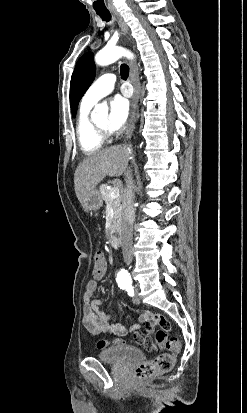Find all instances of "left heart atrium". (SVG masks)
<instances>
[{
  "mask_svg": "<svg viewBox=\"0 0 247 413\" xmlns=\"http://www.w3.org/2000/svg\"><path fill=\"white\" fill-rule=\"evenodd\" d=\"M110 106V126L111 132L119 131L128 115V103L121 95H115L109 100Z\"/></svg>",
  "mask_w": 247,
  "mask_h": 413,
  "instance_id": "left-heart-atrium-1",
  "label": "left heart atrium"
}]
</instances>
